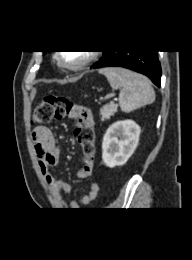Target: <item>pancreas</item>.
<instances>
[{
  "instance_id": "1",
  "label": "pancreas",
  "mask_w": 192,
  "mask_h": 260,
  "mask_svg": "<svg viewBox=\"0 0 192 260\" xmlns=\"http://www.w3.org/2000/svg\"><path fill=\"white\" fill-rule=\"evenodd\" d=\"M118 105L117 104H109L104 105L100 109L101 114V120H109L111 116H114V114L117 112Z\"/></svg>"
}]
</instances>
